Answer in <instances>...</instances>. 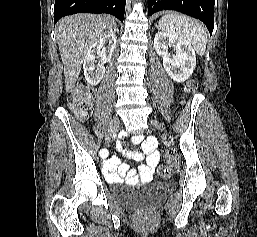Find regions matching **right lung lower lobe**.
<instances>
[{"instance_id": "98d812e1", "label": "right lung lower lobe", "mask_w": 257, "mask_h": 237, "mask_svg": "<svg viewBox=\"0 0 257 237\" xmlns=\"http://www.w3.org/2000/svg\"><path fill=\"white\" fill-rule=\"evenodd\" d=\"M125 3L126 0H55L54 24L75 13H108L123 21Z\"/></svg>"}]
</instances>
